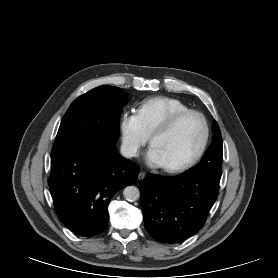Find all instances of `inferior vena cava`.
<instances>
[{"instance_id":"obj_1","label":"inferior vena cava","mask_w":278,"mask_h":278,"mask_svg":"<svg viewBox=\"0 0 278 278\" xmlns=\"http://www.w3.org/2000/svg\"><path fill=\"white\" fill-rule=\"evenodd\" d=\"M121 154L126 158L135 157L137 155V147L135 145L130 144H122L121 145Z\"/></svg>"}]
</instances>
